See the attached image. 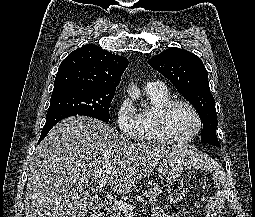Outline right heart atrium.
I'll use <instances>...</instances> for the list:
<instances>
[{
  "mask_svg": "<svg viewBox=\"0 0 255 217\" xmlns=\"http://www.w3.org/2000/svg\"><path fill=\"white\" fill-rule=\"evenodd\" d=\"M115 120L121 134L130 139L138 138L140 131L139 116L129 98L125 97L118 103Z\"/></svg>",
  "mask_w": 255,
  "mask_h": 217,
  "instance_id": "obj_1",
  "label": "right heart atrium"
}]
</instances>
